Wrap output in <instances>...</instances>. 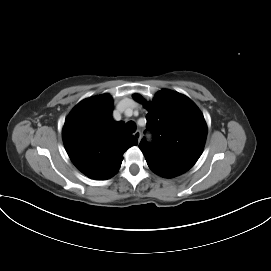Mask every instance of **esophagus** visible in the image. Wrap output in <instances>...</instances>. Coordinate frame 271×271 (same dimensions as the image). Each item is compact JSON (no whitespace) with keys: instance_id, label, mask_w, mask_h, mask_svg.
Returning a JSON list of instances; mask_svg holds the SVG:
<instances>
[{"instance_id":"1","label":"esophagus","mask_w":271,"mask_h":271,"mask_svg":"<svg viewBox=\"0 0 271 271\" xmlns=\"http://www.w3.org/2000/svg\"><path fill=\"white\" fill-rule=\"evenodd\" d=\"M134 137L138 140V142L141 140V132L139 130L135 131Z\"/></svg>"}]
</instances>
